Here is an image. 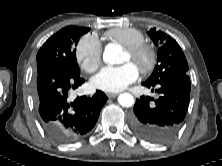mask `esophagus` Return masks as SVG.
<instances>
[{"label":"esophagus","instance_id":"obj_1","mask_svg":"<svg viewBox=\"0 0 222 166\" xmlns=\"http://www.w3.org/2000/svg\"><path fill=\"white\" fill-rule=\"evenodd\" d=\"M118 95V93H107L108 98H114Z\"/></svg>","mask_w":222,"mask_h":166}]
</instances>
